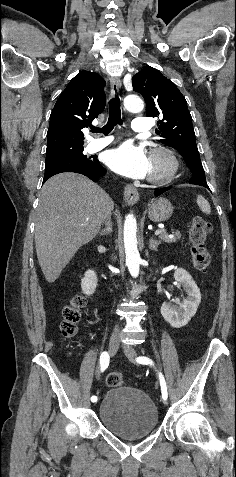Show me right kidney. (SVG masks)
<instances>
[{"label": "right kidney", "instance_id": "1", "mask_svg": "<svg viewBox=\"0 0 236 477\" xmlns=\"http://www.w3.org/2000/svg\"><path fill=\"white\" fill-rule=\"evenodd\" d=\"M98 285L97 275L93 270H88L82 278L81 288L84 294L92 295Z\"/></svg>", "mask_w": 236, "mask_h": 477}]
</instances>
